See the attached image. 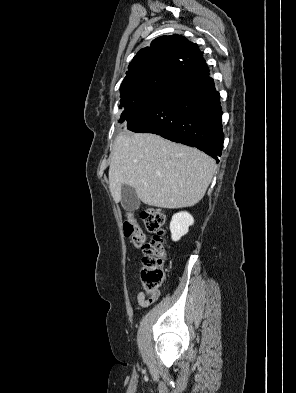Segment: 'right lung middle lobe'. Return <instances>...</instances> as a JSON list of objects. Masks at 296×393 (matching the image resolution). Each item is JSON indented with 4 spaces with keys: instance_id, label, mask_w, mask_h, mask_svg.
Segmentation results:
<instances>
[{
    "instance_id": "right-lung-middle-lobe-1",
    "label": "right lung middle lobe",
    "mask_w": 296,
    "mask_h": 393,
    "mask_svg": "<svg viewBox=\"0 0 296 393\" xmlns=\"http://www.w3.org/2000/svg\"><path fill=\"white\" fill-rule=\"evenodd\" d=\"M167 77H156L149 80L139 95L127 101H120V106L125 108L122 112L119 122L125 125L137 116L155 97L160 86L167 80Z\"/></svg>"
}]
</instances>
